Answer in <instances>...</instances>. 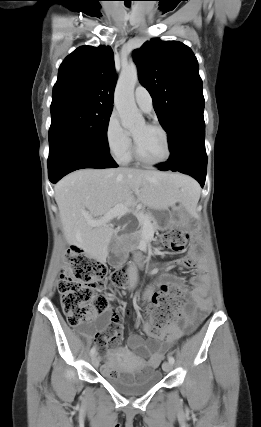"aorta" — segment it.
Wrapping results in <instances>:
<instances>
[{
    "label": "aorta",
    "instance_id": "1",
    "mask_svg": "<svg viewBox=\"0 0 261 427\" xmlns=\"http://www.w3.org/2000/svg\"><path fill=\"white\" fill-rule=\"evenodd\" d=\"M137 81L138 71L136 65L125 66L122 68L115 89V107L121 119L122 126L129 130L145 124V120L139 112L134 99V88Z\"/></svg>",
    "mask_w": 261,
    "mask_h": 427
}]
</instances>
